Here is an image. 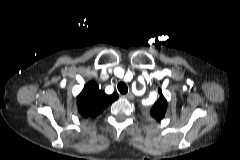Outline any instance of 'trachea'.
Here are the masks:
<instances>
[{
  "label": "trachea",
  "mask_w": 240,
  "mask_h": 160,
  "mask_svg": "<svg viewBox=\"0 0 240 160\" xmlns=\"http://www.w3.org/2000/svg\"><path fill=\"white\" fill-rule=\"evenodd\" d=\"M117 88H118V91L121 93V94H126L128 92V87L125 83L123 82H119L118 85H117Z\"/></svg>",
  "instance_id": "3493384b"
}]
</instances>
